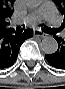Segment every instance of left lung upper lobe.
Listing matches in <instances>:
<instances>
[{"instance_id": "1", "label": "left lung upper lobe", "mask_w": 65, "mask_h": 89, "mask_svg": "<svg viewBox=\"0 0 65 89\" xmlns=\"http://www.w3.org/2000/svg\"><path fill=\"white\" fill-rule=\"evenodd\" d=\"M57 5L59 6L60 12L64 14L65 12V0H55ZM65 27V17H64V22L62 24Z\"/></svg>"}]
</instances>
